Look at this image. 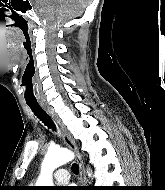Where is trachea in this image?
Segmentation results:
<instances>
[{
  "instance_id": "trachea-1",
  "label": "trachea",
  "mask_w": 165,
  "mask_h": 190,
  "mask_svg": "<svg viewBox=\"0 0 165 190\" xmlns=\"http://www.w3.org/2000/svg\"><path fill=\"white\" fill-rule=\"evenodd\" d=\"M29 107L32 109L33 113L39 118L45 125L49 128L55 129V125L51 118L46 114V112L40 107L38 103H28ZM72 172L78 174L79 167L77 164L72 165Z\"/></svg>"
}]
</instances>
